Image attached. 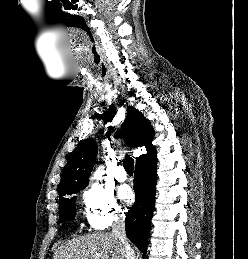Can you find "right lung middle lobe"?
<instances>
[{"label":"right lung middle lobe","instance_id":"obj_1","mask_svg":"<svg viewBox=\"0 0 248 259\" xmlns=\"http://www.w3.org/2000/svg\"><path fill=\"white\" fill-rule=\"evenodd\" d=\"M83 188L71 190V191L67 192L64 196L59 198V202H60L59 220L61 222L65 221L66 219L73 220L76 215L75 197H69L66 195L75 194V193L79 192L80 190H82Z\"/></svg>","mask_w":248,"mask_h":259}]
</instances>
